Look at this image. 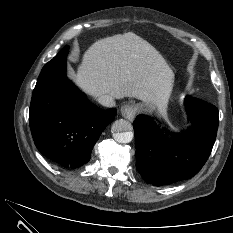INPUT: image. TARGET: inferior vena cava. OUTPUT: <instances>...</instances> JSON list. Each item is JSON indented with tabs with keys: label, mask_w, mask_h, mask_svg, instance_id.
<instances>
[{
	"label": "inferior vena cava",
	"mask_w": 233,
	"mask_h": 233,
	"mask_svg": "<svg viewBox=\"0 0 233 233\" xmlns=\"http://www.w3.org/2000/svg\"><path fill=\"white\" fill-rule=\"evenodd\" d=\"M98 102L106 107H114L115 106V101L114 97L111 95H102L98 98Z\"/></svg>",
	"instance_id": "obj_1"
}]
</instances>
